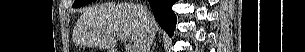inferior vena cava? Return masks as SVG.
<instances>
[{
    "label": "inferior vena cava",
    "instance_id": "1",
    "mask_svg": "<svg viewBox=\"0 0 305 52\" xmlns=\"http://www.w3.org/2000/svg\"><path fill=\"white\" fill-rule=\"evenodd\" d=\"M140 15L145 24V32L140 39L139 43L136 45V52H150V47L155 37V34L150 26L151 14L148 11L146 5L138 6Z\"/></svg>",
    "mask_w": 305,
    "mask_h": 52
}]
</instances>
